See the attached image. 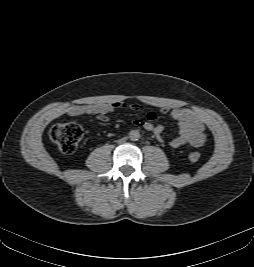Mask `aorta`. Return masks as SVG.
Here are the masks:
<instances>
[{
  "label": "aorta",
  "mask_w": 254,
  "mask_h": 267,
  "mask_svg": "<svg viewBox=\"0 0 254 267\" xmlns=\"http://www.w3.org/2000/svg\"><path fill=\"white\" fill-rule=\"evenodd\" d=\"M129 138L132 141H137L140 138V133L138 130H131L129 133Z\"/></svg>",
  "instance_id": "1"
}]
</instances>
